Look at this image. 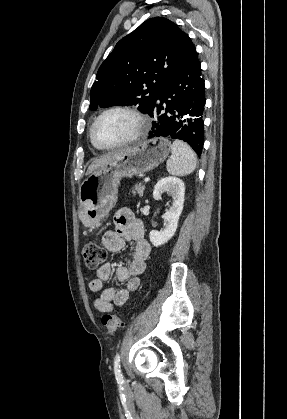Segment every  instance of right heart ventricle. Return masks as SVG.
<instances>
[{
	"label": "right heart ventricle",
	"instance_id": "e07e8e85",
	"mask_svg": "<svg viewBox=\"0 0 287 419\" xmlns=\"http://www.w3.org/2000/svg\"><path fill=\"white\" fill-rule=\"evenodd\" d=\"M92 142V141H91ZM93 143V142H92ZM93 145L96 147V148H98V149H100L99 147H97L94 143H93Z\"/></svg>",
	"mask_w": 287,
	"mask_h": 419
}]
</instances>
